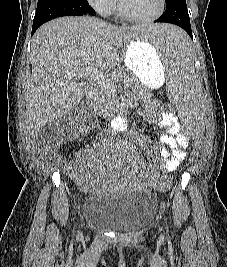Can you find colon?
I'll return each mask as SVG.
<instances>
[{"instance_id":"1","label":"colon","mask_w":227,"mask_h":267,"mask_svg":"<svg viewBox=\"0 0 227 267\" xmlns=\"http://www.w3.org/2000/svg\"><path fill=\"white\" fill-rule=\"evenodd\" d=\"M164 108L166 113H177V108L174 104H165ZM81 117V116H80ZM69 136L68 127L61 121L50 124L45 130H43L37 137V143L39 146L45 148L50 152H54L60 148L63 142ZM193 160V153H186L181 155L175 169H165V176L161 179L158 187H154V192H165L171 185V178H176L177 174H182V171H189Z\"/></svg>"}]
</instances>
